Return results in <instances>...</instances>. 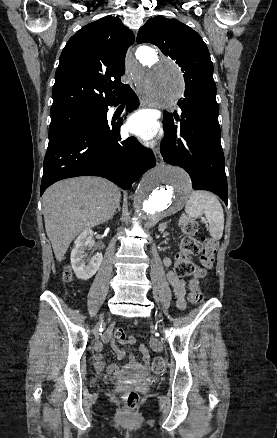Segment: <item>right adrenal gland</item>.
<instances>
[{"mask_svg":"<svg viewBox=\"0 0 277 438\" xmlns=\"http://www.w3.org/2000/svg\"><path fill=\"white\" fill-rule=\"evenodd\" d=\"M121 208L120 206H117V212H120Z\"/></svg>","mask_w":277,"mask_h":438,"instance_id":"2a0ac1e0","label":"right adrenal gland"}]
</instances>
